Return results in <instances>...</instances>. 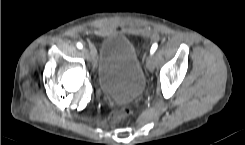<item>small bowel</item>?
<instances>
[{
    "mask_svg": "<svg viewBox=\"0 0 245 145\" xmlns=\"http://www.w3.org/2000/svg\"><path fill=\"white\" fill-rule=\"evenodd\" d=\"M135 33L142 34V35H149L150 34V29H148V28H141V29L135 31ZM100 34L101 35L108 34V31H101Z\"/></svg>",
    "mask_w": 245,
    "mask_h": 145,
    "instance_id": "c3829d8e",
    "label": "small bowel"
}]
</instances>
